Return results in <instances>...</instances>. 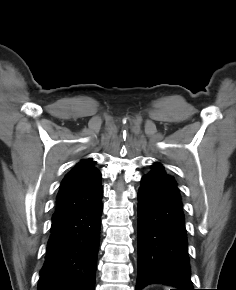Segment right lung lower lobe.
<instances>
[{
	"label": "right lung lower lobe",
	"mask_w": 236,
	"mask_h": 290,
	"mask_svg": "<svg viewBox=\"0 0 236 290\" xmlns=\"http://www.w3.org/2000/svg\"><path fill=\"white\" fill-rule=\"evenodd\" d=\"M102 196L52 219L38 290H94Z\"/></svg>",
	"instance_id": "right-lung-lower-lobe-1"
}]
</instances>
